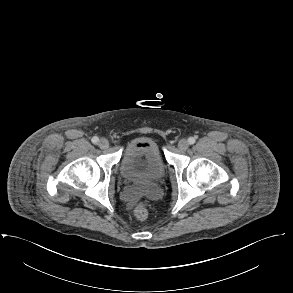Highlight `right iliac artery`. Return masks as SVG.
Masks as SVG:
<instances>
[{"label": "right iliac artery", "instance_id": "right-iliac-artery-1", "mask_svg": "<svg viewBox=\"0 0 293 293\" xmlns=\"http://www.w3.org/2000/svg\"><path fill=\"white\" fill-rule=\"evenodd\" d=\"M99 142V138L98 137H93L92 138V143L97 144Z\"/></svg>", "mask_w": 293, "mask_h": 293}]
</instances>
